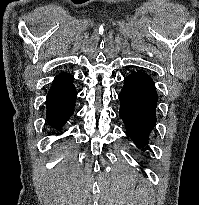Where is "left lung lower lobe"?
Wrapping results in <instances>:
<instances>
[{
	"label": "left lung lower lobe",
	"instance_id": "0a47b994",
	"mask_svg": "<svg viewBox=\"0 0 199 205\" xmlns=\"http://www.w3.org/2000/svg\"><path fill=\"white\" fill-rule=\"evenodd\" d=\"M119 100V116L129 137L138 147L145 146L156 123L158 96L153 80L142 71L127 76Z\"/></svg>",
	"mask_w": 199,
	"mask_h": 205
}]
</instances>
